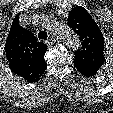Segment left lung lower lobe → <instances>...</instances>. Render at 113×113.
Listing matches in <instances>:
<instances>
[{"label":"left lung lower lobe","mask_w":113,"mask_h":113,"mask_svg":"<svg viewBox=\"0 0 113 113\" xmlns=\"http://www.w3.org/2000/svg\"><path fill=\"white\" fill-rule=\"evenodd\" d=\"M76 68L78 69V71H79L82 75H84V76H86V77L94 76V75L96 74V72L89 71V70L84 69V68H82V67H76Z\"/></svg>","instance_id":"1"}]
</instances>
